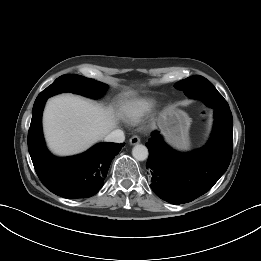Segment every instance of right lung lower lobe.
I'll return each instance as SVG.
<instances>
[{
  "label": "right lung lower lobe",
  "instance_id": "obj_1",
  "mask_svg": "<svg viewBox=\"0 0 261 261\" xmlns=\"http://www.w3.org/2000/svg\"><path fill=\"white\" fill-rule=\"evenodd\" d=\"M48 97L34 103L28 133V149L38 177L54 194L67 199L88 198L104 184L112 159L125 143H100L83 154L58 158L46 149L42 134V111Z\"/></svg>",
  "mask_w": 261,
  "mask_h": 261
}]
</instances>
